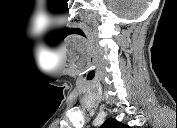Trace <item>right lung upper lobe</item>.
<instances>
[{
    "mask_svg": "<svg viewBox=\"0 0 177 128\" xmlns=\"http://www.w3.org/2000/svg\"><path fill=\"white\" fill-rule=\"evenodd\" d=\"M103 128H128L129 126L118 122L116 119L114 118H109L107 119L104 124L102 125Z\"/></svg>",
    "mask_w": 177,
    "mask_h": 128,
    "instance_id": "obj_1",
    "label": "right lung upper lobe"
}]
</instances>
